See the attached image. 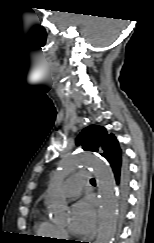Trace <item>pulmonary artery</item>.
Masks as SVG:
<instances>
[{
	"label": "pulmonary artery",
	"instance_id": "e3ab8cb5",
	"mask_svg": "<svg viewBox=\"0 0 154 243\" xmlns=\"http://www.w3.org/2000/svg\"><path fill=\"white\" fill-rule=\"evenodd\" d=\"M89 171L81 170L74 173L63 184V192L66 196H75L82 188V184L88 180Z\"/></svg>",
	"mask_w": 154,
	"mask_h": 243
}]
</instances>
